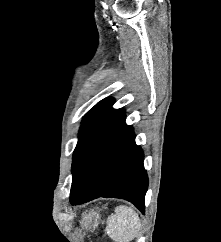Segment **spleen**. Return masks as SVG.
<instances>
[{
  "instance_id": "obj_1",
  "label": "spleen",
  "mask_w": 221,
  "mask_h": 242,
  "mask_svg": "<svg viewBox=\"0 0 221 242\" xmlns=\"http://www.w3.org/2000/svg\"><path fill=\"white\" fill-rule=\"evenodd\" d=\"M141 223L133 208L119 205L107 220L106 233L115 242H129L138 236Z\"/></svg>"
}]
</instances>
